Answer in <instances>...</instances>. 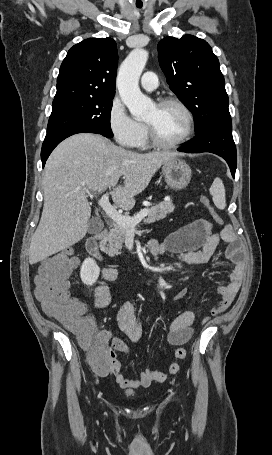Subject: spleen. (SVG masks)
Returning a JSON list of instances; mask_svg holds the SVG:
<instances>
[{"instance_id": "3e777b00", "label": "spleen", "mask_w": 272, "mask_h": 455, "mask_svg": "<svg viewBox=\"0 0 272 455\" xmlns=\"http://www.w3.org/2000/svg\"><path fill=\"white\" fill-rule=\"evenodd\" d=\"M210 194L212 195L215 206L223 210L226 207L225 187L219 177L214 179L210 187Z\"/></svg>"}]
</instances>
